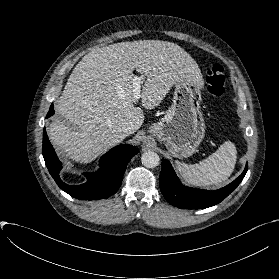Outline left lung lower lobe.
<instances>
[{"label":"left lung lower lobe","instance_id":"0a47b994","mask_svg":"<svg viewBox=\"0 0 279 279\" xmlns=\"http://www.w3.org/2000/svg\"><path fill=\"white\" fill-rule=\"evenodd\" d=\"M247 170L246 164L243 173L233 182L221 189L208 191L183 186L170 162L163 159L159 184L163 196L171 205L181 209H204L220 203L234 191L243 180Z\"/></svg>","mask_w":279,"mask_h":279}]
</instances>
